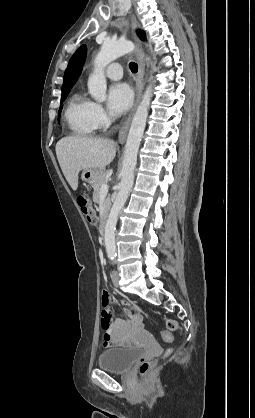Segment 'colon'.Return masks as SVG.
Instances as JSON below:
<instances>
[{
	"instance_id": "obj_1",
	"label": "colon",
	"mask_w": 255,
	"mask_h": 418,
	"mask_svg": "<svg viewBox=\"0 0 255 418\" xmlns=\"http://www.w3.org/2000/svg\"><path fill=\"white\" fill-rule=\"evenodd\" d=\"M77 204L82 211V213L85 215L86 219L89 223H93L95 221V212L88 200V198L80 194L76 198ZM167 331L163 333V338L166 342H171L173 337L171 332L179 330V326L177 322L173 319H169L166 322ZM172 349L167 350L165 355L170 354ZM154 361L151 360H142V362L139 365V373L141 375H146L154 366Z\"/></svg>"
}]
</instances>
